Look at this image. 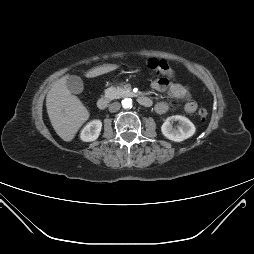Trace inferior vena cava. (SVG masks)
Instances as JSON below:
<instances>
[{
    "label": "inferior vena cava",
    "instance_id": "inferior-vena-cava-1",
    "mask_svg": "<svg viewBox=\"0 0 254 254\" xmlns=\"http://www.w3.org/2000/svg\"><path fill=\"white\" fill-rule=\"evenodd\" d=\"M109 111L111 113L117 112L120 109V103L119 102H113L109 105Z\"/></svg>",
    "mask_w": 254,
    "mask_h": 254
}]
</instances>
